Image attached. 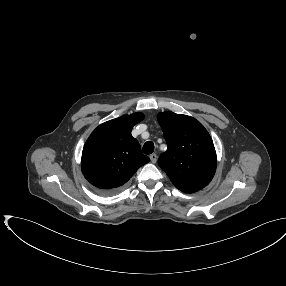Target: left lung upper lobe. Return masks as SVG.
I'll list each match as a JSON object with an SVG mask.
<instances>
[{
  "label": "left lung upper lobe",
  "instance_id": "left-lung-upper-lobe-1",
  "mask_svg": "<svg viewBox=\"0 0 286 286\" xmlns=\"http://www.w3.org/2000/svg\"><path fill=\"white\" fill-rule=\"evenodd\" d=\"M168 149L158 159L160 168L177 189L196 192L210 183L216 170L213 141L195 118L166 111L158 114Z\"/></svg>",
  "mask_w": 286,
  "mask_h": 286
}]
</instances>
